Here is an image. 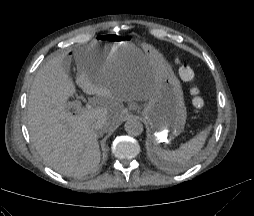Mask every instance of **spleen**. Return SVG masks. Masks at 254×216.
<instances>
[{"label":"spleen","instance_id":"obj_1","mask_svg":"<svg viewBox=\"0 0 254 216\" xmlns=\"http://www.w3.org/2000/svg\"><path fill=\"white\" fill-rule=\"evenodd\" d=\"M208 134V130L201 131L175 151H168L160 147H154L153 152L157 160L166 170L177 171L179 166L184 165L192 156L202 149Z\"/></svg>","mask_w":254,"mask_h":216}]
</instances>
